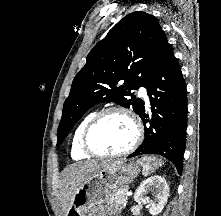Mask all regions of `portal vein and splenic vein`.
Segmentation results:
<instances>
[{
  "label": "portal vein and splenic vein",
  "instance_id": "obj_1",
  "mask_svg": "<svg viewBox=\"0 0 221 216\" xmlns=\"http://www.w3.org/2000/svg\"><path fill=\"white\" fill-rule=\"evenodd\" d=\"M130 193L129 192H126V195L128 196Z\"/></svg>",
  "mask_w": 221,
  "mask_h": 216
}]
</instances>
